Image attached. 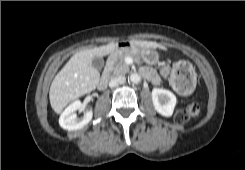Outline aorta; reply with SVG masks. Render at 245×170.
Here are the masks:
<instances>
[{"label": "aorta", "mask_w": 245, "mask_h": 170, "mask_svg": "<svg viewBox=\"0 0 245 170\" xmlns=\"http://www.w3.org/2000/svg\"><path fill=\"white\" fill-rule=\"evenodd\" d=\"M130 81H131L132 83L138 84V83L141 81V77H140V75L137 74V73H132V74L130 75Z\"/></svg>", "instance_id": "762f6f07"}]
</instances>
